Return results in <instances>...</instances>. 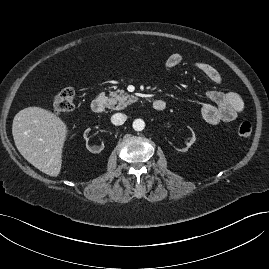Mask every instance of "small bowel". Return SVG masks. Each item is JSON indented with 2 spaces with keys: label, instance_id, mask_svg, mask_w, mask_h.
Instances as JSON below:
<instances>
[{
  "label": "small bowel",
  "instance_id": "small-bowel-1",
  "mask_svg": "<svg viewBox=\"0 0 269 269\" xmlns=\"http://www.w3.org/2000/svg\"><path fill=\"white\" fill-rule=\"evenodd\" d=\"M181 62V55L173 53L167 57L165 64L168 68L174 69ZM194 67L211 81L221 82V74L213 65L206 62H196ZM205 99L206 101L201 105V115L210 124L232 122L244 109L243 99L235 92L210 90L205 93Z\"/></svg>",
  "mask_w": 269,
  "mask_h": 269
}]
</instances>
